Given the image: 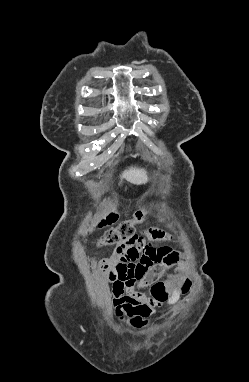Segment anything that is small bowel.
Here are the masks:
<instances>
[{"mask_svg":"<svg viewBox=\"0 0 249 382\" xmlns=\"http://www.w3.org/2000/svg\"><path fill=\"white\" fill-rule=\"evenodd\" d=\"M137 238H140L141 241L117 243L112 248L111 255L99 259L97 266L104 279L110 284L112 302L117 317L133 327L140 328L147 324L146 318L152 312L151 306L162 305L165 300L161 301V298H152L141 292L133 291L137 278L130 276L129 270L131 266L138 265L139 259L143 258L144 250L140 248H156L157 242L172 241L173 236L160 228H149L137 235ZM162 249L171 248L162 247ZM151 284L153 282L138 281L137 287L142 289ZM179 286L182 287V291L186 292L187 285L180 284ZM169 294L170 292L167 295Z\"/></svg>","mask_w":249,"mask_h":382,"instance_id":"c3829d8e","label":"small bowel"}]
</instances>
